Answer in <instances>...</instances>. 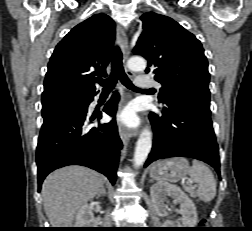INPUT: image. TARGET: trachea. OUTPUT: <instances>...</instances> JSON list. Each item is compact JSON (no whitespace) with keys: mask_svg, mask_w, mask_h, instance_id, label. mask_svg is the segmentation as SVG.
I'll return each instance as SVG.
<instances>
[{"mask_svg":"<svg viewBox=\"0 0 252 231\" xmlns=\"http://www.w3.org/2000/svg\"><path fill=\"white\" fill-rule=\"evenodd\" d=\"M118 79L121 83L130 90L143 91L135 87L127 77L122 63V52L117 46L114 50L111 64V74L107 79L99 80L98 83L103 87V92H110L116 85Z\"/></svg>","mask_w":252,"mask_h":231,"instance_id":"3493384b","label":"trachea"}]
</instances>
